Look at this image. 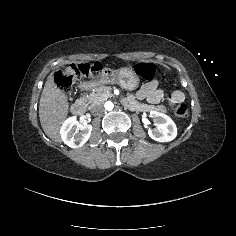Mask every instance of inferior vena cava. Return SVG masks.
<instances>
[{"mask_svg":"<svg viewBox=\"0 0 236 236\" xmlns=\"http://www.w3.org/2000/svg\"><path fill=\"white\" fill-rule=\"evenodd\" d=\"M90 111L93 115H98L103 112V106L101 104H95L91 107Z\"/></svg>","mask_w":236,"mask_h":236,"instance_id":"inferior-vena-cava-1","label":"inferior vena cava"}]
</instances>
